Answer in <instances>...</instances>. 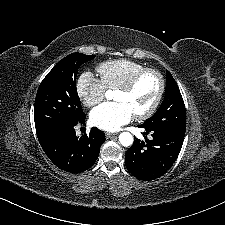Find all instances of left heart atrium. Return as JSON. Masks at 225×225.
I'll return each mask as SVG.
<instances>
[{
  "mask_svg": "<svg viewBox=\"0 0 225 225\" xmlns=\"http://www.w3.org/2000/svg\"><path fill=\"white\" fill-rule=\"evenodd\" d=\"M132 112L120 102L103 103L90 114L94 126L106 130L116 131L127 124L132 118Z\"/></svg>",
  "mask_w": 225,
  "mask_h": 225,
  "instance_id": "left-heart-atrium-1",
  "label": "left heart atrium"
}]
</instances>
